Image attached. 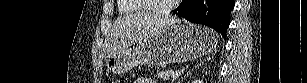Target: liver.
I'll list each match as a JSON object with an SVG mask.
<instances>
[{"label": "liver", "mask_w": 307, "mask_h": 83, "mask_svg": "<svg viewBox=\"0 0 307 83\" xmlns=\"http://www.w3.org/2000/svg\"><path fill=\"white\" fill-rule=\"evenodd\" d=\"M180 19L138 13L118 20L111 31L106 45V54L123 50L128 45L141 42L167 26L180 23Z\"/></svg>", "instance_id": "liver-1"}]
</instances>
